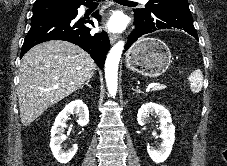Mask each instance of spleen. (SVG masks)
Masks as SVG:
<instances>
[{"mask_svg": "<svg viewBox=\"0 0 227 166\" xmlns=\"http://www.w3.org/2000/svg\"><path fill=\"white\" fill-rule=\"evenodd\" d=\"M190 89L193 93H198L203 87V74L200 69L193 71L189 78Z\"/></svg>", "mask_w": 227, "mask_h": 166, "instance_id": "obj_1", "label": "spleen"}]
</instances>
